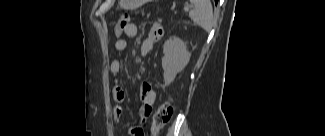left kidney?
<instances>
[{"mask_svg": "<svg viewBox=\"0 0 325 136\" xmlns=\"http://www.w3.org/2000/svg\"><path fill=\"white\" fill-rule=\"evenodd\" d=\"M163 53L162 68L164 70V82L165 85H170L176 78V75L187 66L191 54L187 50L186 43L176 36L169 38L164 43Z\"/></svg>", "mask_w": 325, "mask_h": 136, "instance_id": "obj_1", "label": "left kidney"}]
</instances>
